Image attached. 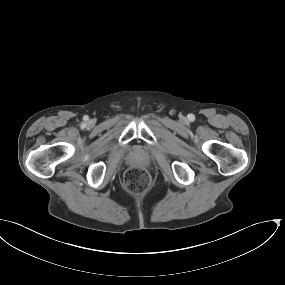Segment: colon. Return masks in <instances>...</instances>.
Returning <instances> with one entry per match:
<instances>
[{"mask_svg": "<svg viewBox=\"0 0 285 285\" xmlns=\"http://www.w3.org/2000/svg\"><path fill=\"white\" fill-rule=\"evenodd\" d=\"M124 185L133 194H144L150 188L151 176L145 169L133 167L125 173Z\"/></svg>", "mask_w": 285, "mask_h": 285, "instance_id": "obj_1", "label": "colon"}]
</instances>
